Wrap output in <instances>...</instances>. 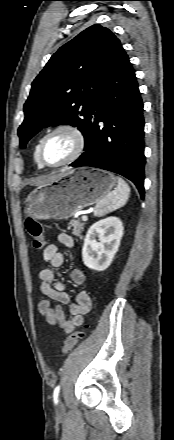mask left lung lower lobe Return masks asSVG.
Masks as SVG:
<instances>
[{"mask_svg":"<svg viewBox=\"0 0 174 440\" xmlns=\"http://www.w3.org/2000/svg\"><path fill=\"white\" fill-rule=\"evenodd\" d=\"M85 152L70 166H91L131 180L144 197L143 102L125 51L91 107Z\"/></svg>","mask_w":174,"mask_h":440,"instance_id":"obj_1","label":"left lung lower lobe"}]
</instances>
